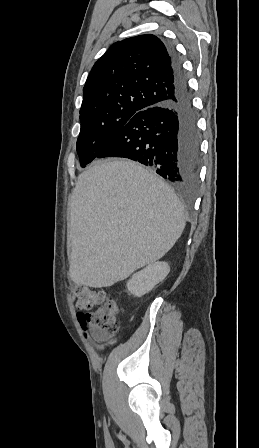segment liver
I'll list each match as a JSON object with an SVG mask.
<instances>
[{
    "label": "liver",
    "instance_id": "1",
    "mask_svg": "<svg viewBox=\"0 0 259 448\" xmlns=\"http://www.w3.org/2000/svg\"><path fill=\"white\" fill-rule=\"evenodd\" d=\"M70 276L108 288L165 256L184 228L172 188L141 164L108 158L79 174L71 196Z\"/></svg>",
    "mask_w": 259,
    "mask_h": 448
}]
</instances>
